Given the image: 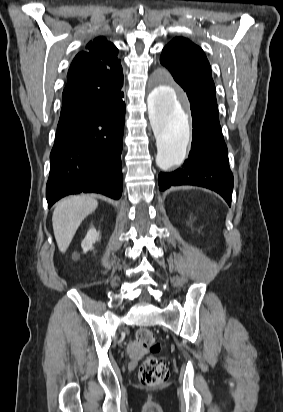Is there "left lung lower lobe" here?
Here are the masks:
<instances>
[{"label":"left lung lower lobe","instance_id":"1","mask_svg":"<svg viewBox=\"0 0 283 412\" xmlns=\"http://www.w3.org/2000/svg\"><path fill=\"white\" fill-rule=\"evenodd\" d=\"M178 84L187 93L192 110L191 152L181 168L159 174V189L164 191L175 185L200 186L219 193L230 206L233 174L219 123L217 102L194 92L184 83Z\"/></svg>","mask_w":283,"mask_h":412}]
</instances>
